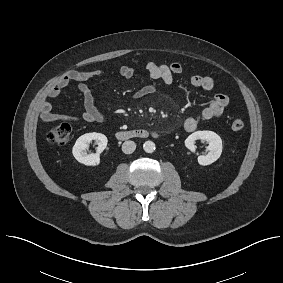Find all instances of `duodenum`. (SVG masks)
<instances>
[{"label":"duodenum","instance_id":"1","mask_svg":"<svg viewBox=\"0 0 283 283\" xmlns=\"http://www.w3.org/2000/svg\"><path fill=\"white\" fill-rule=\"evenodd\" d=\"M161 134L158 131H148L145 129L121 130L115 133V137L119 140H126L131 138H145L152 136L158 138Z\"/></svg>","mask_w":283,"mask_h":283}]
</instances>
